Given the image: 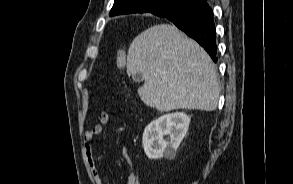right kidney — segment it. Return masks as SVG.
<instances>
[{"label":"right kidney","mask_w":293,"mask_h":184,"mask_svg":"<svg viewBox=\"0 0 293 184\" xmlns=\"http://www.w3.org/2000/svg\"><path fill=\"white\" fill-rule=\"evenodd\" d=\"M190 117L183 112L166 114L152 121L143 133V148L151 160L173 159L185 137ZM164 136H168L164 139Z\"/></svg>","instance_id":"obj_1"}]
</instances>
